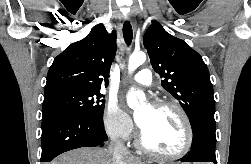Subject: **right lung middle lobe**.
I'll return each instance as SVG.
<instances>
[{"label":"right lung middle lobe","mask_w":251,"mask_h":164,"mask_svg":"<svg viewBox=\"0 0 251 164\" xmlns=\"http://www.w3.org/2000/svg\"><path fill=\"white\" fill-rule=\"evenodd\" d=\"M100 91L71 87L56 88L44 93L42 114L71 113L101 119L105 100Z\"/></svg>","instance_id":"dd1d6c3e"}]
</instances>
